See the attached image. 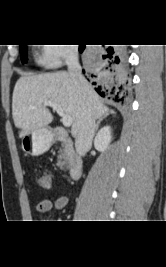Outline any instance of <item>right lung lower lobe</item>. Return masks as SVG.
<instances>
[{
  "label": "right lung lower lobe",
  "instance_id": "1",
  "mask_svg": "<svg viewBox=\"0 0 166 267\" xmlns=\"http://www.w3.org/2000/svg\"><path fill=\"white\" fill-rule=\"evenodd\" d=\"M86 45H79V52L82 53ZM107 55L101 73L93 69L87 71L88 80L92 79L95 90L101 96H111L115 101H123L127 95L126 73L124 69V52L120 48L107 47ZM85 73V70H83Z\"/></svg>",
  "mask_w": 166,
  "mask_h": 267
}]
</instances>
